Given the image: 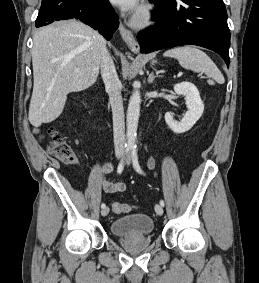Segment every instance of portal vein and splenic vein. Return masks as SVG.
<instances>
[{"mask_svg": "<svg viewBox=\"0 0 259 283\" xmlns=\"http://www.w3.org/2000/svg\"><path fill=\"white\" fill-rule=\"evenodd\" d=\"M75 71H76V72H78V71H79V69L77 68V69H75Z\"/></svg>", "mask_w": 259, "mask_h": 283, "instance_id": "1", "label": "portal vein and splenic vein"}]
</instances>
